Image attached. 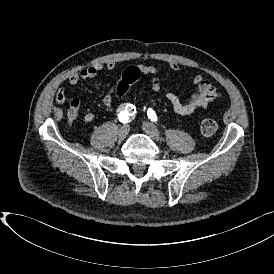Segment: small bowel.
I'll use <instances>...</instances> for the list:
<instances>
[{
	"label": "small bowel",
	"instance_id": "1",
	"mask_svg": "<svg viewBox=\"0 0 274 274\" xmlns=\"http://www.w3.org/2000/svg\"><path fill=\"white\" fill-rule=\"evenodd\" d=\"M168 66L172 71L177 74L183 73L181 66L174 61H170L168 63ZM138 68L144 75L150 77L152 90L159 91L161 89V82L158 77V68L150 64H142ZM103 69L114 70L116 69V63L114 61H108L105 64L90 65L78 72L71 74L69 76V84L71 86H76L81 80L93 79ZM192 84L196 87V91L188 101H182L173 92L166 93L167 102L176 115L186 116L194 113L197 110L205 109L212 100L220 95L217 88L214 87L210 81L206 80L202 74H197L193 76ZM115 95H117V85L110 87L102 98V102L107 108H114ZM64 99V90L62 88H59L56 92V102L59 107L63 105ZM71 104L79 108V99L74 98L71 101ZM95 119V114L91 112L87 113L84 116V121L86 123H92L95 121Z\"/></svg>",
	"mask_w": 274,
	"mask_h": 274
}]
</instances>
